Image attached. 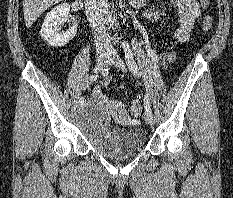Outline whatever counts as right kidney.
I'll use <instances>...</instances> for the list:
<instances>
[{
	"instance_id": "right-kidney-1",
	"label": "right kidney",
	"mask_w": 233,
	"mask_h": 198,
	"mask_svg": "<svg viewBox=\"0 0 233 198\" xmlns=\"http://www.w3.org/2000/svg\"><path fill=\"white\" fill-rule=\"evenodd\" d=\"M70 5L63 3L47 13L41 28V36L52 47H62L72 40L77 32V26L73 25L65 33H59L58 21L69 15Z\"/></svg>"
}]
</instances>
